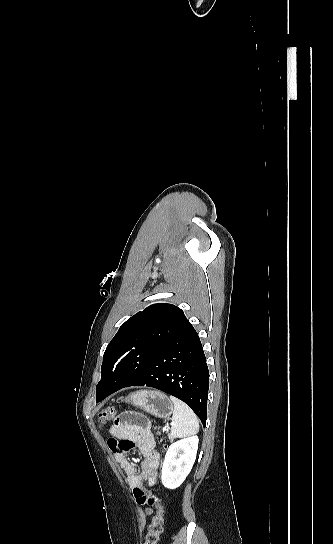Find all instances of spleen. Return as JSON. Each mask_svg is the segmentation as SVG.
<instances>
[{
  "instance_id": "1",
  "label": "spleen",
  "mask_w": 333,
  "mask_h": 544,
  "mask_svg": "<svg viewBox=\"0 0 333 544\" xmlns=\"http://www.w3.org/2000/svg\"><path fill=\"white\" fill-rule=\"evenodd\" d=\"M170 400L174 404L171 435L185 437L197 433L199 422L192 409L174 396H170Z\"/></svg>"
}]
</instances>
